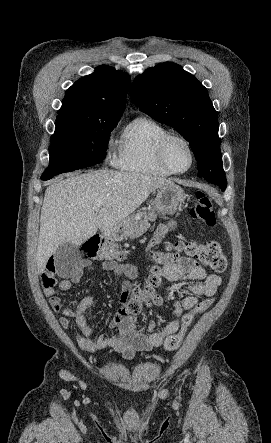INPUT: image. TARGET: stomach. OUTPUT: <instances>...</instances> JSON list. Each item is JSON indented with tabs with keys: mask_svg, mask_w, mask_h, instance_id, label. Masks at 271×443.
<instances>
[{
	"mask_svg": "<svg viewBox=\"0 0 271 443\" xmlns=\"http://www.w3.org/2000/svg\"><path fill=\"white\" fill-rule=\"evenodd\" d=\"M185 194L180 186L175 184H168L163 188H158L157 196L152 204L153 210L160 212V214H175L178 208L185 202ZM133 220L131 216L126 218V222L121 223L118 227H115L114 231L109 233L112 239L115 241H123L127 239L130 233H135V227L131 225Z\"/></svg>",
	"mask_w": 271,
	"mask_h": 443,
	"instance_id": "stomach-1",
	"label": "stomach"
}]
</instances>
